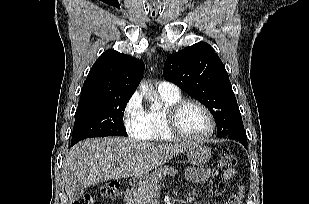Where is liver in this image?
Returning a JSON list of instances; mask_svg holds the SVG:
<instances>
[{
  "label": "liver",
  "mask_w": 309,
  "mask_h": 204,
  "mask_svg": "<svg viewBox=\"0 0 309 204\" xmlns=\"http://www.w3.org/2000/svg\"><path fill=\"white\" fill-rule=\"evenodd\" d=\"M189 146L158 145L124 137L86 139L73 146L64 158L66 194L72 202L76 185L85 189L112 179L143 176Z\"/></svg>",
  "instance_id": "1"
}]
</instances>
